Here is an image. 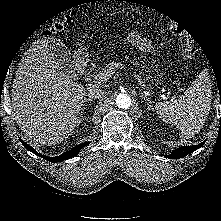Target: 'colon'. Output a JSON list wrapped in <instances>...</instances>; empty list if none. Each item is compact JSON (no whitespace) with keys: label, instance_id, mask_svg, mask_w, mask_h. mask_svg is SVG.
I'll list each match as a JSON object with an SVG mask.
<instances>
[{"label":"colon","instance_id":"1","mask_svg":"<svg viewBox=\"0 0 221 221\" xmlns=\"http://www.w3.org/2000/svg\"><path fill=\"white\" fill-rule=\"evenodd\" d=\"M74 17H75L74 13L65 15L60 20L51 24L47 28L45 34L52 35L64 30L72 22ZM168 28L170 32L173 35H175L177 39L180 41V49L182 57L185 60L191 61L196 55V47L191 37L188 35L186 29L177 22H170L168 24Z\"/></svg>","mask_w":221,"mask_h":221}]
</instances>
